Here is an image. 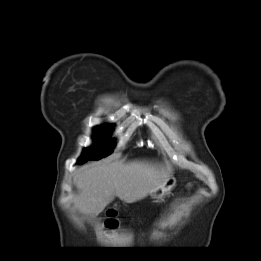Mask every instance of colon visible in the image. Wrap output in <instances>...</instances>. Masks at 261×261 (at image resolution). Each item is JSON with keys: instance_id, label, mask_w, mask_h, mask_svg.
I'll use <instances>...</instances> for the list:
<instances>
[{"instance_id": "obj_1", "label": "colon", "mask_w": 261, "mask_h": 261, "mask_svg": "<svg viewBox=\"0 0 261 261\" xmlns=\"http://www.w3.org/2000/svg\"><path fill=\"white\" fill-rule=\"evenodd\" d=\"M108 216H109V219H108V222H107L108 226L109 227H115L116 226V221L114 219L115 213L113 211H111V212H109Z\"/></svg>"}]
</instances>
